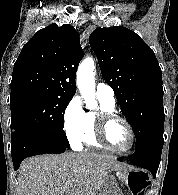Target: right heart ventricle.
<instances>
[{
    "instance_id": "e07e8e85",
    "label": "right heart ventricle",
    "mask_w": 178,
    "mask_h": 195,
    "mask_svg": "<svg viewBox=\"0 0 178 195\" xmlns=\"http://www.w3.org/2000/svg\"><path fill=\"white\" fill-rule=\"evenodd\" d=\"M99 100V112L100 111H111L114 112L115 110V104H111L99 97H97ZM96 115L97 113L94 112H88L86 113V120H87V130L84 137V141L86 145L90 147H97L102 148V145L97 141L95 136V127H96Z\"/></svg>"
}]
</instances>
